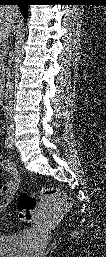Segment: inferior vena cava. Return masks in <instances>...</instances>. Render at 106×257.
<instances>
[{"instance_id": "1", "label": "inferior vena cava", "mask_w": 106, "mask_h": 257, "mask_svg": "<svg viewBox=\"0 0 106 257\" xmlns=\"http://www.w3.org/2000/svg\"><path fill=\"white\" fill-rule=\"evenodd\" d=\"M9 55H11V52H9ZM7 73V83H6V89H5V110H6V125L7 129L11 130L14 128L13 124V85L11 82V71L10 68L6 69Z\"/></svg>"}]
</instances>
